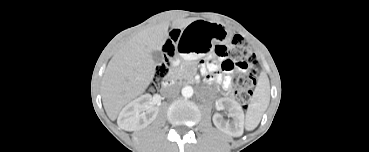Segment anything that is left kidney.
Segmentation results:
<instances>
[{
	"label": "left kidney",
	"instance_id": "5707ae66",
	"mask_svg": "<svg viewBox=\"0 0 369 152\" xmlns=\"http://www.w3.org/2000/svg\"><path fill=\"white\" fill-rule=\"evenodd\" d=\"M219 104L221 105V107L226 106L232 117L235 118L237 121H241L243 119V110L238 103L232 101L231 99L223 98L219 101Z\"/></svg>",
	"mask_w": 369,
	"mask_h": 152
}]
</instances>
